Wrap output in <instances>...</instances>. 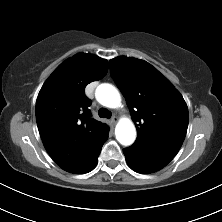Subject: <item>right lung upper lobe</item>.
Masks as SVG:
<instances>
[{"label": "right lung upper lobe", "instance_id": "obj_1", "mask_svg": "<svg viewBox=\"0 0 222 222\" xmlns=\"http://www.w3.org/2000/svg\"><path fill=\"white\" fill-rule=\"evenodd\" d=\"M108 62L79 53L61 63L41 88L36 101L40 136L51 158L62 169L89 163L108 138L109 127L91 118L84 89L103 78Z\"/></svg>", "mask_w": 222, "mask_h": 222}]
</instances>
